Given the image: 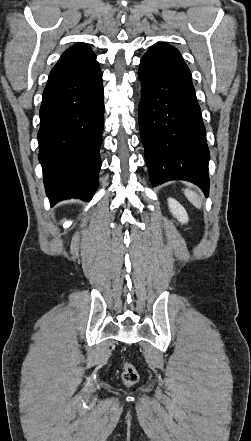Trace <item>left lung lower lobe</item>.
Instances as JSON below:
<instances>
[{
  "label": "left lung lower lobe",
  "instance_id": "left-lung-lower-lobe-1",
  "mask_svg": "<svg viewBox=\"0 0 251 441\" xmlns=\"http://www.w3.org/2000/svg\"><path fill=\"white\" fill-rule=\"evenodd\" d=\"M138 75L140 136L152 186L186 180L208 196L209 150L188 66L176 48L157 43L141 59Z\"/></svg>",
  "mask_w": 251,
  "mask_h": 441
}]
</instances>
